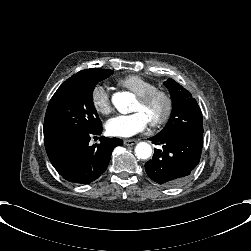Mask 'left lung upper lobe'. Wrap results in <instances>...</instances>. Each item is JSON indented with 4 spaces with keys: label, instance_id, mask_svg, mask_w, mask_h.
<instances>
[{
    "label": "left lung upper lobe",
    "instance_id": "left-lung-upper-lobe-1",
    "mask_svg": "<svg viewBox=\"0 0 251 251\" xmlns=\"http://www.w3.org/2000/svg\"><path fill=\"white\" fill-rule=\"evenodd\" d=\"M164 84L171 93L173 110L166 127L157 136L167 137L184 131L203 132L202 113L191 93L173 79Z\"/></svg>",
    "mask_w": 251,
    "mask_h": 251
}]
</instances>
